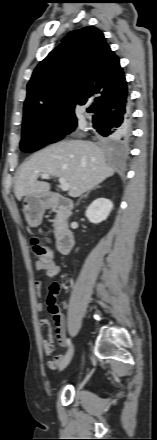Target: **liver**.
<instances>
[{
	"label": "liver",
	"instance_id": "6515ba94",
	"mask_svg": "<svg viewBox=\"0 0 157 440\" xmlns=\"http://www.w3.org/2000/svg\"><path fill=\"white\" fill-rule=\"evenodd\" d=\"M115 170L106 162L102 148L90 141L70 140L50 145L33 154L19 169L14 186L16 198L46 195L50 184L37 181L48 174L64 178L69 196L79 197L111 177Z\"/></svg>",
	"mask_w": 157,
	"mask_h": 440
}]
</instances>
